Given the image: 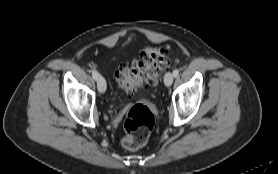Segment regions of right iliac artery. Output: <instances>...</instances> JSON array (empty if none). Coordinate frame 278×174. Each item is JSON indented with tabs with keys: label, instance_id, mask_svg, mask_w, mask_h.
Listing matches in <instances>:
<instances>
[{
	"label": "right iliac artery",
	"instance_id": "right-iliac-artery-1",
	"mask_svg": "<svg viewBox=\"0 0 278 174\" xmlns=\"http://www.w3.org/2000/svg\"><path fill=\"white\" fill-rule=\"evenodd\" d=\"M99 76L100 75H99V73L96 70L92 71V77H93L94 80H98Z\"/></svg>",
	"mask_w": 278,
	"mask_h": 174
}]
</instances>
